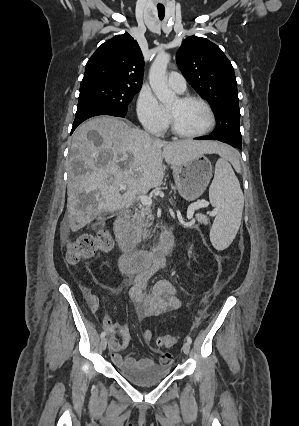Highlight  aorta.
<instances>
[{
  "mask_svg": "<svg viewBox=\"0 0 299 426\" xmlns=\"http://www.w3.org/2000/svg\"><path fill=\"white\" fill-rule=\"evenodd\" d=\"M170 58L168 53H159L149 71L150 86L160 103L164 105L173 102L176 98L175 93L167 86L166 70Z\"/></svg>",
  "mask_w": 299,
  "mask_h": 426,
  "instance_id": "obj_1",
  "label": "aorta"
}]
</instances>
